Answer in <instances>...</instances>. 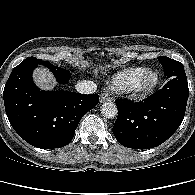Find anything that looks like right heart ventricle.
<instances>
[{"label": "right heart ventricle", "mask_w": 195, "mask_h": 195, "mask_svg": "<svg viewBox=\"0 0 195 195\" xmlns=\"http://www.w3.org/2000/svg\"><path fill=\"white\" fill-rule=\"evenodd\" d=\"M146 70V68H127L117 72L111 80L113 89L121 92H128L134 81Z\"/></svg>", "instance_id": "e07e8e85"}]
</instances>
